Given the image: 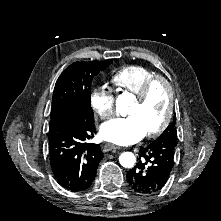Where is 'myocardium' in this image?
I'll return each instance as SVG.
<instances>
[{"label":"myocardium","mask_w":221,"mask_h":221,"mask_svg":"<svg viewBox=\"0 0 221 221\" xmlns=\"http://www.w3.org/2000/svg\"><path fill=\"white\" fill-rule=\"evenodd\" d=\"M158 84H163L167 89V93H168L167 113L165 115V118L163 119V121L160 123V125L157 128L145 134V136L148 138H154L162 134L166 130V128L169 126L172 120L173 112H174L173 86L167 78L163 76H159V75L152 77L145 82V84L143 85L139 93L135 96L136 103L139 105L145 103L151 90Z\"/></svg>","instance_id":"myocardium-1"}]
</instances>
